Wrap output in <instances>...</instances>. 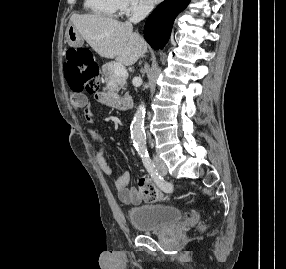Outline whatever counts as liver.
<instances>
[{"instance_id":"6515ba94","label":"liver","mask_w":286,"mask_h":269,"mask_svg":"<svg viewBox=\"0 0 286 269\" xmlns=\"http://www.w3.org/2000/svg\"><path fill=\"white\" fill-rule=\"evenodd\" d=\"M70 25L101 57L116 58L122 65H133L147 49L146 42L138 33H133V26L129 22L99 14H73Z\"/></svg>"}]
</instances>
